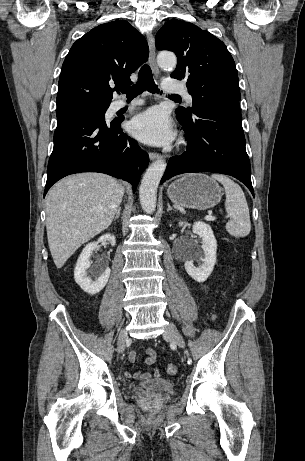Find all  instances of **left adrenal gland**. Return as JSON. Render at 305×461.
Instances as JSON below:
<instances>
[{"label":"left adrenal gland","instance_id":"a2214340","mask_svg":"<svg viewBox=\"0 0 305 461\" xmlns=\"http://www.w3.org/2000/svg\"><path fill=\"white\" fill-rule=\"evenodd\" d=\"M167 206H168V208H167V212H169V211H172V210H173V211H175V210H174V209H173V208L170 206V204H169V203L167 204Z\"/></svg>","mask_w":305,"mask_h":461}]
</instances>
